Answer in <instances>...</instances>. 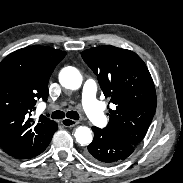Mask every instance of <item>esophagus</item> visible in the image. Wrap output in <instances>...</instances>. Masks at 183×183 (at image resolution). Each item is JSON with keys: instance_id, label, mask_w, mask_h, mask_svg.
Returning a JSON list of instances; mask_svg holds the SVG:
<instances>
[{"instance_id": "34e87169", "label": "esophagus", "mask_w": 183, "mask_h": 183, "mask_svg": "<svg viewBox=\"0 0 183 183\" xmlns=\"http://www.w3.org/2000/svg\"><path fill=\"white\" fill-rule=\"evenodd\" d=\"M61 124L64 127H73L76 126L77 124H79V121L77 120H73V119H69V118H65L61 121Z\"/></svg>"}]
</instances>
